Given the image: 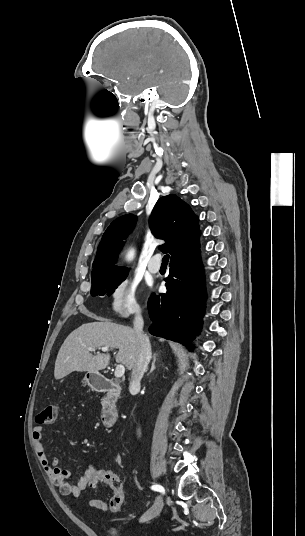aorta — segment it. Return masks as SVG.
<instances>
[{"label":"aorta","mask_w":305,"mask_h":536,"mask_svg":"<svg viewBox=\"0 0 305 536\" xmlns=\"http://www.w3.org/2000/svg\"><path fill=\"white\" fill-rule=\"evenodd\" d=\"M133 256H134V251L132 250V251H130V252L128 253V259H132Z\"/></svg>","instance_id":"obj_1"}]
</instances>
